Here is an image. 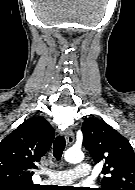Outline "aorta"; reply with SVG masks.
Listing matches in <instances>:
<instances>
[{"label": "aorta", "mask_w": 135, "mask_h": 190, "mask_svg": "<svg viewBox=\"0 0 135 190\" xmlns=\"http://www.w3.org/2000/svg\"><path fill=\"white\" fill-rule=\"evenodd\" d=\"M64 158L69 163H79L83 160L84 154L81 150L69 149L65 152Z\"/></svg>", "instance_id": "762f6f07"}]
</instances>
